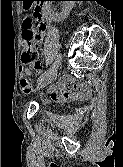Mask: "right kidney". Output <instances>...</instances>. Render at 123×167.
<instances>
[{
  "label": "right kidney",
  "instance_id": "1",
  "mask_svg": "<svg viewBox=\"0 0 123 167\" xmlns=\"http://www.w3.org/2000/svg\"><path fill=\"white\" fill-rule=\"evenodd\" d=\"M62 3H63V8H62L61 13L55 14L53 16V19L56 21H62L64 19H66V17L69 15V13L72 9V6L74 4L73 2H62Z\"/></svg>",
  "mask_w": 123,
  "mask_h": 167
}]
</instances>
